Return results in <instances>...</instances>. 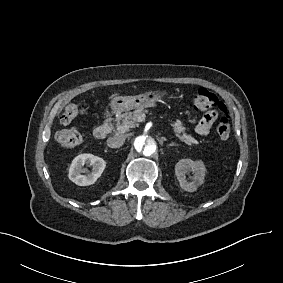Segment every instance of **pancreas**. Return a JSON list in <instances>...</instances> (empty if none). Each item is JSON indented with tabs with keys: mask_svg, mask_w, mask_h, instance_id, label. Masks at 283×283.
<instances>
[{
	"mask_svg": "<svg viewBox=\"0 0 283 283\" xmlns=\"http://www.w3.org/2000/svg\"><path fill=\"white\" fill-rule=\"evenodd\" d=\"M145 112L147 110H135L131 113H124L121 115H118L116 117V124L117 129L115 130L116 134H124L130 129L134 128L136 124L139 122V119L145 115ZM166 115V114H164ZM170 122V126L172 127V130L174 132V135L181 141L187 144L188 146H193L195 144H198V141L187 134L185 127L183 126L181 121L174 122L170 118H168Z\"/></svg>",
	"mask_w": 283,
	"mask_h": 283,
	"instance_id": "obj_1",
	"label": "pancreas"
}]
</instances>
